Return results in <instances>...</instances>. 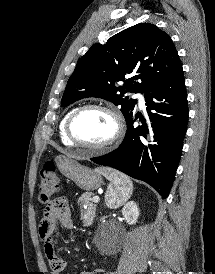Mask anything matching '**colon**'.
<instances>
[{"label":"colon","instance_id":"obj_1","mask_svg":"<svg viewBox=\"0 0 215 274\" xmlns=\"http://www.w3.org/2000/svg\"><path fill=\"white\" fill-rule=\"evenodd\" d=\"M60 189L59 178L55 163L52 160L45 162L40 173L39 198L47 202Z\"/></svg>","mask_w":215,"mask_h":274}]
</instances>
